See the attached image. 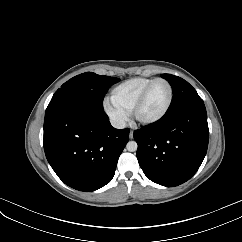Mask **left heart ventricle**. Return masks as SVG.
<instances>
[{
  "label": "left heart ventricle",
  "mask_w": 242,
  "mask_h": 242,
  "mask_svg": "<svg viewBox=\"0 0 242 242\" xmlns=\"http://www.w3.org/2000/svg\"><path fill=\"white\" fill-rule=\"evenodd\" d=\"M169 99V88L164 82H157L150 89L143 105L138 111L141 119H152L165 108Z\"/></svg>",
  "instance_id": "obj_1"
}]
</instances>
